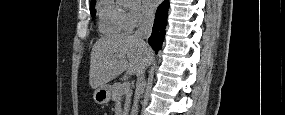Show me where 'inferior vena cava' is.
<instances>
[{"mask_svg": "<svg viewBox=\"0 0 285 115\" xmlns=\"http://www.w3.org/2000/svg\"><path fill=\"white\" fill-rule=\"evenodd\" d=\"M153 21H154L153 15L150 14L145 15L141 19L138 29L135 31L134 38H136L137 41H139L143 47L148 46L145 43V40H147L152 33ZM144 73H145L144 66H142L136 73L137 90L134 91L135 101H142L145 94V91L143 90Z\"/></svg>", "mask_w": 285, "mask_h": 115, "instance_id": "inferior-vena-cava-1", "label": "inferior vena cava"}]
</instances>
